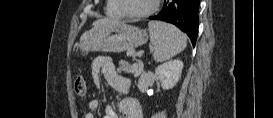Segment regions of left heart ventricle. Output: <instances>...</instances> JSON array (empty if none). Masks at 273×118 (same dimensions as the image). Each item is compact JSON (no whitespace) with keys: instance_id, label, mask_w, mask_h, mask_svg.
Listing matches in <instances>:
<instances>
[{"instance_id":"left-heart-ventricle-1","label":"left heart ventricle","mask_w":273,"mask_h":118,"mask_svg":"<svg viewBox=\"0 0 273 118\" xmlns=\"http://www.w3.org/2000/svg\"><path fill=\"white\" fill-rule=\"evenodd\" d=\"M154 0H125L127 10L134 13L146 11L151 8Z\"/></svg>"}]
</instances>
